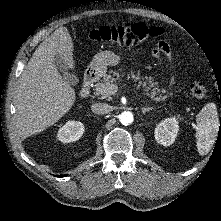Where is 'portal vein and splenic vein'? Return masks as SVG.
<instances>
[{
	"instance_id": "1",
	"label": "portal vein and splenic vein",
	"mask_w": 221,
	"mask_h": 221,
	"mask_svg": "<svg viewBox=\"0 0 221 221\" xmlns=\"http://www.w3.org/2000/svg\"><path fill=\"white\" fill-rule=\"evenodd\" d=\"M117 90H118V86L115 85V84H112L111 87H110V92L112 94H114L115 92H117Z\"/></svg>"
}]
</instances>
